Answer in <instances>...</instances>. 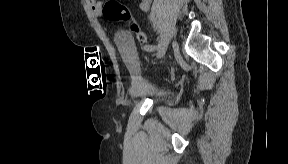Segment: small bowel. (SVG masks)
Wrapping results in <instances>:
<instances>
[{
  "label": "small bowel",
  "mask_w": 288,
  "mask_h": 164,
  "mask_svg": "<svg viewBox=\"0 0 288 164\" xmlns=\"http://www.w3.org/2000/svg\"><path fill=\"white\" fill-rule=\"evenodd\" d=\"M149 6H150V3H149V1H147V0L140 3V8H141L142 10H147V9H149Z\"/></svg>",
  "instance_id": "obj_1"
}]
</instances>
